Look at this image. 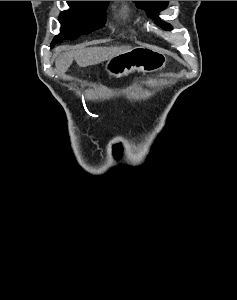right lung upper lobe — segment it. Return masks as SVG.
I'll list each match as a JSON object with an SVG mask.
<instances>
[{"instance_id":"obj_1","label":"right lung upper lobe","mask_w":237,"mask_h":300,"mask_svg":"<svg viewBox=\"0 0 237 300\" xmlns=\"http://www.w3.org/2000/svg\"><path fill=\"white\" fill-rule=\"evenodd\" d=\"M98 2H108V1H98Z\"/></svg>"}]
</instances>
